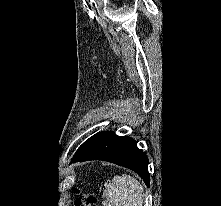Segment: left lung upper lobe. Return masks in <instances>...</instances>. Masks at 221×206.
Segmentation results:
<instances>
[{
	"instance_id": "5c2ea615",
	"label": "left lung upper lobe",
	"mask_w": 221,
	"mask_h": 206,
	"mask_svg": "<svg viewBox=\"0 0 221 206\" xmlns=\"http://www.w3.org/2000/svg\"><path fill=\"white\" fill-rule=\"evenodd\" d=\"M98 136H99V134H96V135L90 137L88 140H86V141L80 146V148L77 150L76 154H78L79 152H81L85 147H87L91 142H93Z\"/></svg>"
}]
</instances>
